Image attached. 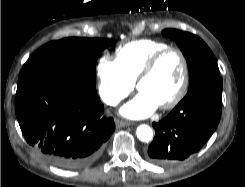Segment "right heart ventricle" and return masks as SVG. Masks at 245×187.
Masks as SVG:
<instances>
[{"mask_svg":"<svg viewBox=\"0 0 245 187\" xmlns=\"http://www.w3.org/2000/svg\"><path fill=\"white\" fill-rule=\"evenodd\" d=\"M168 46L167 43L156 39L129 41L117 47L115 61L126 79L132 84H135L141 69L148 59L155 52Z\"/></svg>","mask_w":245,"mask_h":187,"instance_id":"e07e8e85","label":"right heart ventricle"}]
</instances>
